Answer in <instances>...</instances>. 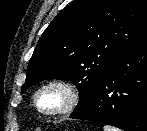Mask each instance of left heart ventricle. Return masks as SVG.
<instances>
[{
  "label": "left heart ventricle",
  "instance_id": "b2bd125f",
  "mask_svg": "<svg viewBox=\"0 0 147 131\" xmlns=\"http://www.w3.org/2000/svg\"><path fill=\"white\" fill-rule=\"evenodd\" d=\"M64 102V95L58 89H48L38 97V105L41 109L50 111L58 109Z\"/></svg>",
  "mask_w": 147,
  "mask_h": 131
}]
</instances>
